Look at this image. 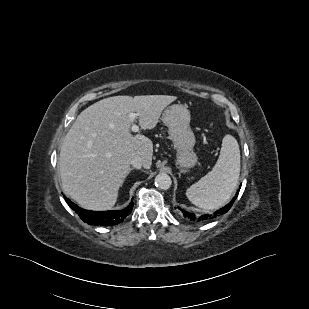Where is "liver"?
<instances>
[{
  "instance_id": "obj_1",
  "label": "liver",
  "mask_w": 309,
  "mask_h": 309,
  "mask_svg": "<svg viewBox=\"0 0 309 309\" xmlns=\"http://www.w3.org/2000/svg\"><path fill=\"white\" fill-rule=\"evenodd\" d=\"M176 99L169 95L114 96L83 110L60 150L63 191L85 209H111L131 171L130 159L139 155L145 169L152 165L153 143L144 135L131 134L129 114H138L142 129H153L163 110Z\"/></svg>"
}]
</instances>
